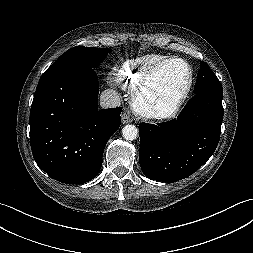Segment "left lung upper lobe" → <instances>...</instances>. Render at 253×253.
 I'll return each mask as SVG.
<instances>
[{
	"label": "left lung upper lobe",
	"mask_w": 253,
	"mask_h": 253,
	"mask_svg": "<svg viewBox=\"0 0 253 253\" xmlns=\"http://www.w3.org/2000/svg\"><path fill=\"white\" fill-rule=\"evenodd\" d=\"M203 91L223 93L222 85L216 75L205 62L200 61V69L197 74L194 93Z\"/></svg>",
	"instance_id": "1"
}]
</instances>
